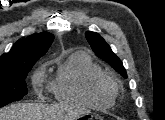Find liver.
<instances>
[{
	"mask_svg": "<svg viewBox=\"0 0 165 120\" xmlns=\"http://www.w3.org/2000/svg\"><path fill=\"white\" fill-rule=\"evenodd\" d=\"M65 112L67 113L66 118L71 120L83 113V110L64 106L17 103L0 110V120H53V118H63Z\"/></svg>",
	"mask_w": 165,
	"mask_h": 120,
	"instance_id": "obj_1",
	"label": "liver"
}]
</instances>
